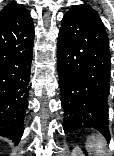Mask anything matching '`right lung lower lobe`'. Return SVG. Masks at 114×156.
I'll return each mask as SVG.
<instances>
[{
  "label": "right lung lower lobe",
  "instance_id": "98d812e1",
  "mask_svg": "<svg viewBox=\"0 0 114 156\" xmlns=\"http://www.w3.org/2000/svg\"><path fill=\"white\" fill-rule=\"evenodd\" d=\"M34 36L25 8L0 19V135L15 142L24 130Z\"/></svg>",
  "mask_w": 114,
  "mask_h": 156
}]
</instances>
